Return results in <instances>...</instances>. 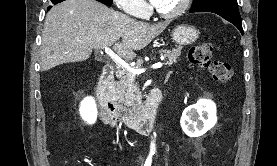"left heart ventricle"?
<instances>
[{
  "instance_id": "1",
  "label": "left heart ventricle",
  "mask_w": 277,
  "mask_h": 166,
  "mask_svg": "<svg viewBox=\"0 0 277 166\" xmlns=\"http://www.w3.org/2000/svg\"><path fill=\"white\" fill-rule=\"evenodd\" d=\"M182 0H160L156 7L162 12H171L177 9Z\"/></svg>"
}]
</instances>
